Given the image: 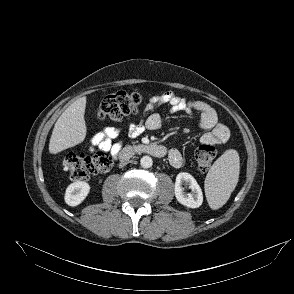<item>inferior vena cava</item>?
<instances>
[{
  "label": "inferior vena cava",
  "mask_w": 294,
  "mask_h": 294,
  "mask_svg": "<svg viewBox=\"0 0 294 294\" xmlns=\"http://www.w3.org/2000/svg\"><path fill=\"white\" fill-rule=\"evenodd\" d=\"M126 163H127V160L126 159H122L121 160V163H120V166H124Z\"/></svg>",
  "instance_id": "inferior-vena-cava-1"
}]
</instances>
